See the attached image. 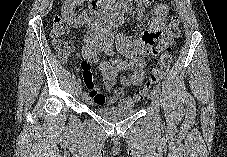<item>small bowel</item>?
<instances>
[{
	"label": "small bowel",
	"instance_id": "c3829d8e",
	"mask_svg": "<svg viewBox=\"0 0 227 157\" xmlns=\"http://www.w3.org/2000/svg\"><path fill=\"white\" fill-rule=\"evenodd\" d=\"M139 1L149 5L152 0ZM168 14L169 5L165 2L158 3L154 7L148 28L134 41H130L123 35H118L115 39H112L107 37L104 32H91L84 41L82 48L83 61L80 64L86 87V91L83 93L86 102L95 106L111 105L116 102L120 104L127 88L142 83L146 67L143 57L150 54L151 47L160 38ZM115 49L122 58L114 57ZM102 54L107 55L109 59H101ZM93 66H97L101 71L102 79L108 89H111L118 79L120 80L121 86L114 90L111 96L105 97L94 86L91 73ZM127 71H130L129 75L124 74Z\"/></svg>",
	"mask_w": 227,
	"mask_h": 157
}]
</instances>
